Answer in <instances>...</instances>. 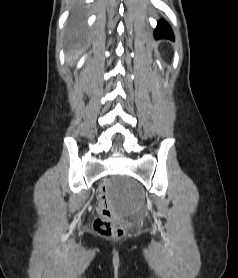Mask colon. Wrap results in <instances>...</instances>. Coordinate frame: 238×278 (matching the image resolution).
I'll return each instance as SVG.
<instances>
[{"instance_id":"1","label":"colon","mask_w":238,"mask_h":278,"mask_svg":"<svg viewBox=\"0 0 238 278\" xmlns=\"http://www.w3.org/2000/svg\"><path fill=\"white\" fill-rule=\"evenodd\" d=\"M109 178L103 177L102 183L98 186L100 198V216L94 221V231L103 237L120 238L124 235V229L116 215L109 206L107 198L109 197Z\"/></svg>"}]
</instances>
